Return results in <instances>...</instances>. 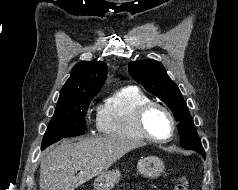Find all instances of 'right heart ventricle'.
Instances as JSON below:
<instances>
[{"mask_svg": "<svg viewBox=\"0 0 238 190\" xmlns=\"http://www.w3.org/2000/svg\"><path fill=\"white\" fill-rule=\"evenodd\" d=\"M149 101V97L136 87L129 86L115 91L98 109V131L116 138L146 140L137 127L136 113Z\"/></svg>", "mask_w": 238, "mask_h": 190, "instance_id": "obj_1", "label": "right heart ventricle"}]
</instances>
